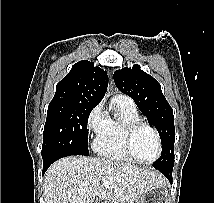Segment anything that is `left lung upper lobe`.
<instances>
[{"label":"left lung upper lobe","instance_id":"5c2ea615","mask_svg":"<svg viewBox=\"0 0 214 203\" xmlns=\"http://www.w3.org/2000/svg\"><path fill=\"white\" fill-rule=\"evenodd\" d=\"M117 88L130 96L149 124L157 129L162 143V153L153 167L172 168L174 164V116L173 109L164 97L160 84L151 75L140 69L139 65L125 67L114 73Z\"/></svg>","mask_w":214,"mask_h":203}]
</instances>
